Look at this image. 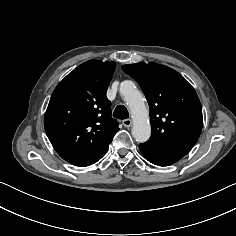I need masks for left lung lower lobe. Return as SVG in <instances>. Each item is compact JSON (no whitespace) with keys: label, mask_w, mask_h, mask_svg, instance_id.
Masks as SVG:
<instances>
[{"label":"left lung lower lobe","mask_w":236,"mask_h":236,"mask_svg":"<svg viewBox=\"0 0 236 236\" xmlns=\"http://www.w3.org/2000/svg\"><path fill=\"white\" fill-rule=\"evenodd\" d=\"M192 147V145L149 144L147 142L139 145L143 156L149 162L158 166H169L177 162L184 157Z\"/></svg>","instance_id":"1"}]
</instances>
